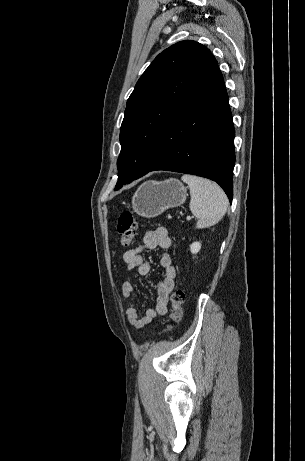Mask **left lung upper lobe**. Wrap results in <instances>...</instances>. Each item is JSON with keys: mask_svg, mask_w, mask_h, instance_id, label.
<instances>
[{"mask_svg": "<svg viewBox=\"0 0 305 461\" xmlns=\"http://www.w3.org/2000/svg\"><path fill=\"white\" fill-rule=\"evenodd\" d=\"M215 62L209 49L185 40L164 50L145 70L126 104L115 190L147 173L166 124Z\"/></svg>", "mask_w": 305, "mask_h": 461, "instance_id": "5c2ea615", "label": "left lung upper lobe"}]
</instances>
